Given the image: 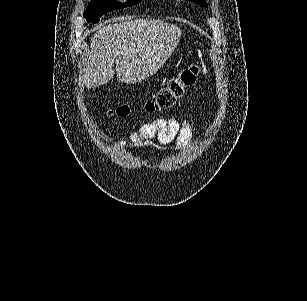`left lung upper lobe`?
Wrapping results in <instances>:
<instances>
[{
	"label": "left lung upper lobe",
	"instance_id": "5c2ea615",
	"mask_svg": "<svg viewBox=\"0 0 307 301\" xmlns=\"http://www.w3.org/2000/svg\"><path fill=\"white\" fill-rule=\"evenodd\" d=\"M194 1H195L196 3H198V4H200L201 6L208 7L205 0H194Z\"/></svg>",
	"mask_w": 307,
	"mask_h": 301
}]
</instances>
